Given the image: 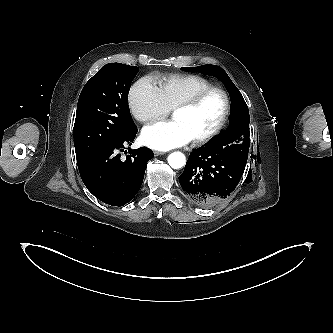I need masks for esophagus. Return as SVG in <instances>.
Masks as SVG:
<instances>
[{
  "label": "esophagus",
  "mask_w": 333,
  "mask_h": 333,
  "mask_svg": "<svg viewBox=\"0 0 333 333\" xmlns=\"http://www.w3.org/2000/svg\"><path fill=\"white\" fill-rule=\"evenodd\" d=\"M164 153L161 151H154V156H160L163 155Z\"/></svg>",
  "instance_id": "esophagus-1"
}]
</instances>
